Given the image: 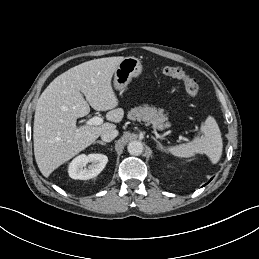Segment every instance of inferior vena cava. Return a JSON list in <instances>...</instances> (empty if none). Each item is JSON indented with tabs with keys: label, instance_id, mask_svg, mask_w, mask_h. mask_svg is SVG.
<instances>
[{
	"label": "inferior vena cava",
	"instance_id": "obj_1",
	"mask_svg": "<svg viewBox=\"0 0 259 259\" xmlns=\"http://www.w3.org/2000/svg\"><path fill=\"white\" fill-rule=\"evenodd\" d=\"M117 135L118 131L116 129H109L101 134V139L105 142H111L113 139L117 137Z\"/></svg>",
	"mask_w": 259,
	"mask_h": 259
}]
</instances>
